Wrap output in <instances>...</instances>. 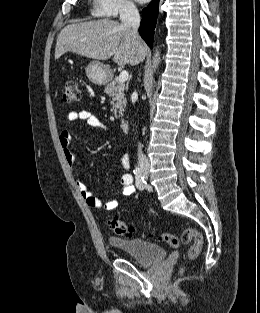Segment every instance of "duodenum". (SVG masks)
<instances>
[{
	"mask_svg": "<svg viewBox=\"0 0 260 313\" xmlns=\"http://www.w3.org/2000/svg\"><path fill=\"white\" fill-rule=\"evenodd\" d=\"M121 126L124 132H128L129 130V121L127 119H123L121 122Z\"/></svg>",
	"mask_w": 260,
	"mask_h": 313,
	"instance_id": "410a0bca",
	"label": "duodenum"
}]
</instances>
